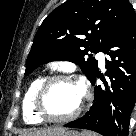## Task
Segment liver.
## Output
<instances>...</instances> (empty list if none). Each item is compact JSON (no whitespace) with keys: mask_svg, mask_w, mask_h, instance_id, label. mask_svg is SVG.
Segmentation results:
<instances>
[{"mask_svg":"<svg viewBox=\"0 0 136 136\" xmlns=\"http://www.w3.org/2000/svg\"><path fill=\"white\" fill-rule=\"evenodd\" d=\"M64 128H47V129H32L27 131L23 136H54L61 131H64Z\"/></svg>","mask_w":136,"mask_h":136,"instance_id":"6515ba94","label":"liver"}]
</instances>
